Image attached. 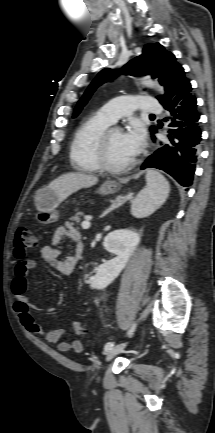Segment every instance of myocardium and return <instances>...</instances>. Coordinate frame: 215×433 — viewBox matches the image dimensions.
Instances as JSON below:
<instances>
[{"instance_id":"f54148a6","label":"myocardium","mask_w":215,"mask_h":433,"mask_svg":"<svg viewBox=\"0 0 215 433\" xmlns=\"http://www.w3.org/2000/svg\"><path fill=\"white\" fill-rule=\"evenodd\" d=\"M114 130L121 131L119 128L109 127L99 137L96 146V160L100 169L108 171L110 173H121L133 168L137 163V159L133 158L131 161L122 165H113L109 161L107 150L108 139L111 132Z\"/></svg>"}]
</instances>
